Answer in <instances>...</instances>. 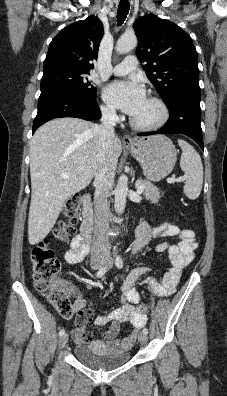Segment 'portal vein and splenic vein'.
Masks as SVG:
<instances>
[{"mask_svg": "<svg viewBox=\"0 0 227 396\" xmlns=\"http://www.w3.org/2000/svg\"><path fill=\"white\" fill-rule=\"evenodd\" d=\"M64 178H68L69 176H68V174H63L62 175ZM183 180V178H172L171 180H170V182H181ZM136 188H137V193L138 194H141L143 191H144V186H139V184L138 183H136Z\"/></svg>", "mask_w": 227, "mask_h": 396, "instance_id": "obj_1", "label": "portal vein and splenic vein"}]
</instances>
